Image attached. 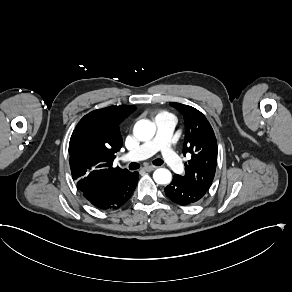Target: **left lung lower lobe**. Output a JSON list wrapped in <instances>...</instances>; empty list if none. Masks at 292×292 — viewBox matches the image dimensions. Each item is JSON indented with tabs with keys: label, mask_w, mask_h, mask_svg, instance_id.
<instances>
[{
	"label": "left lung lower lobe",
	"mask_w": 292,
	"mask_h": 292,
	"mask_svg": "<svg viewBox=\"0 0 292 292\" xmlns=\"http://www.w3.org/2000/svg\"><path fill=\"white\" fill-rule=\"evenodd\" d=\"M165 194L174 203L186 206L198 202L206 191L191 187L174 176L173 181L165 188Z\"/></svg>",
	"instance_id": "0a47b994"
}]
</instances>
